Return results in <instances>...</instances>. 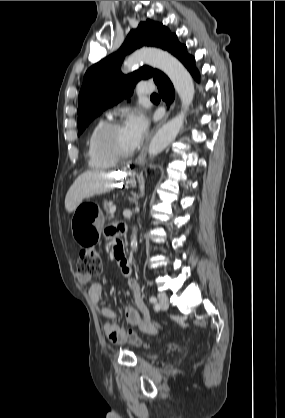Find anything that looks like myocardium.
<instances>
[{
	"instance_id": "1",
	"label": "myocardium",
	"mask_w": 285,
	"mask_h": 418,
	"mask_svg": "<svg viewBox=\"0 0 285 418\" xmlns=\"http://www.w3.org/2000/svg\"><path fill=\"white\" fill-rule=\"evenodd\" d=\"M122 122L118 120H111L103 123L93 138V144L97 151L105 158L111 161H123L131 158L136 151L133 147L131 150L120 153L116 151L110 144V138L113 132L122 128Z\"/></svg>"
}]
</instances>
